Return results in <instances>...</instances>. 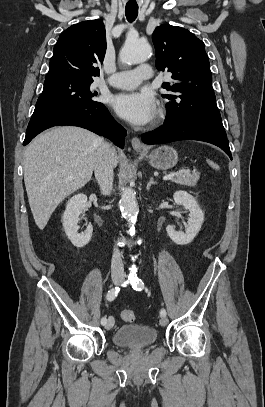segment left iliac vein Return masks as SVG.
<instances>
[{
	"label": "left iliac vein",
	"mask_w": 265,
	"mask_h": 407,
	"mask_svg": "<svg viewBox=\"0 0 265 407\" xmlns=\"http://www.w3.org/2000/svg\"><path fill=\"white\" fill-rule=\"evenodd\" d=\"M159 323L161 326H166L168 324V319L166 317H162Z\"/></svg>",
	"instance_id": "left-iliac-vein-1"
}]
</instances>
